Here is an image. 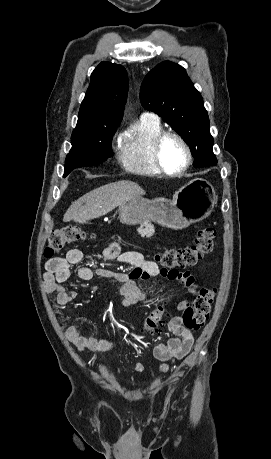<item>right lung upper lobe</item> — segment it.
I'll use <instances>...</instances> for the list:
<instances>
[{
  "instance_id": "1",
  "label": "right lung upper lobe",
  "mask_w": 271,
  "mask_h": 459,
  "mask_svg": "<svg viewBox=\"0 0 271 459\" xmlns=\"http://www.w3.org/2000/svg\"><path fill=\"white\" fill-rule=\"evenodd\" d=\"M128 92V75L121 65L102 62L91 74V82L80 106L79 119H122Z\"/></svg>"
}]
</instances>
